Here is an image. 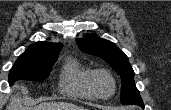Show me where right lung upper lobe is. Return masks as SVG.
<instances>
[{
	"label": "right lung upper lobe",
	"instance_id": "1",
	"mask_svg": "<svg viewBox=\"0 0 171 110\" xmlns=\"http://www.w3.org/2000/svg\"><path fill=\"white\" fill-rule=\"evenodd\" d=\"M62 46L63 45L60 43H48L39 41L30 45L27 51L22 54V56L40 58L59 56V52L62 49Z\"/></svg>",
	"mask_w": 171,
	"mask_h": 110
}]
</instances>
